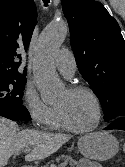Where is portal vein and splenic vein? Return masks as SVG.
I'll return each mask as SVG.
<instances>
[{"label": "portal vein and splenic vein", "mask_w": 125, "mask_h": 167, "mask_svg": "<svg viewBox=\"0 0 125 167\" xmlns=\"http://www.w3.org/2000/svg\"><path fill=\"white\" fill-rule=\"evenodd\" d=\"M30 150H31L30 147H26V148L24 149V152H25V153H28V152H30ZM67 164H68V162L64 161L63 163H61V164L59 165V167H66ZM53 167H56V166H53Z\"/></svg>", "instance_id": "18ae733b"}]
</instances>
